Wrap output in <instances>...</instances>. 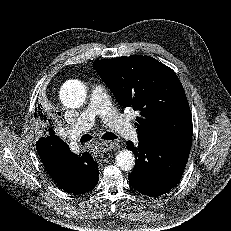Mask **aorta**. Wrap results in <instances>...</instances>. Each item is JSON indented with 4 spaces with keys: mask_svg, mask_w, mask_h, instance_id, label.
<instances>
[{
    "mask_svg": "<svg viewBox=\"0 0 231 231\" xmlns=\"http://www.w3.org/2000/svg\"><path fill=\"white\" fill-rule=\"evenodd\" d=\"M86 88L78 80H69L60 90V100L68 108H79L86 100ZM116 164L123 171H130L135 165V158L131 151L122 150L116 155Z\"/></svg>",
    "mask_w": 231,
    "mask_h": 231,
    "instance_id": "obj_1",
    "label": "aorta"
}]
</instances>
